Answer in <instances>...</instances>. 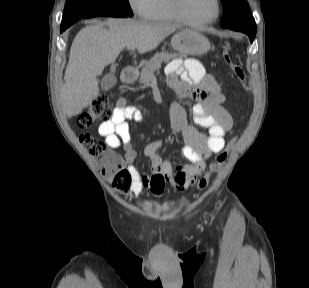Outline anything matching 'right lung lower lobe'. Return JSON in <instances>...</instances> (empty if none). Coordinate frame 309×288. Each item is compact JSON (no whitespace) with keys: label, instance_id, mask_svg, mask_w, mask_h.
Segmentation results:
<instances>
[{"label":"right lung lower lobe","instance_id":"right-lung-lower-lobe-1","mask_svg":"<svg viewBox=\"0 0 309 288\" xmlns=\"http://www.w3.org/2000/svg\"><path fill=\"white\" fill-rule=\"evenodd\" d=\"M95 16H110V17H128L129 15L123 12H116V11H96L92 12L84 18H90ZM66 28L61 27L60 31L63 32Z\"/></svg>","mask_w":309,"mask_h":288}]
</instances>
